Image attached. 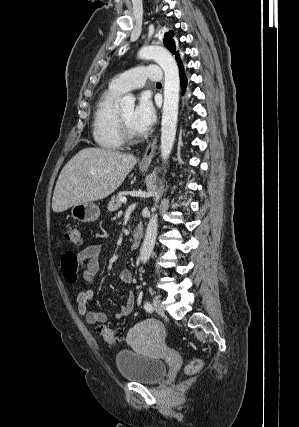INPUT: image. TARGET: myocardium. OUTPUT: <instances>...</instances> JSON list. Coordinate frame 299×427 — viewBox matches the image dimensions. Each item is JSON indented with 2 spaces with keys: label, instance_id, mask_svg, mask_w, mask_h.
Wrapping results in <instances>:
<instances>
[{
  "label": "myocardium",
  "instance_id": "obj_1",
  "mask_svg": "<svg viewBox=\"0 0 299 427\" xmlns=\"http://www.w3.org/2000/svg\"><path fill=\"white\" fill-rule=\"evenodd\" d=\"M117 119H118L119 129H120L121 135H122L124 140L133 142V141H136L140 138L139 133L134 132L129 127V125L127 124V122L123 118L121 111L119 109L117 111Z\"/></svg>",
  "mask_w": 299,
  "mask_h": 427
}]
</instances>
